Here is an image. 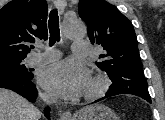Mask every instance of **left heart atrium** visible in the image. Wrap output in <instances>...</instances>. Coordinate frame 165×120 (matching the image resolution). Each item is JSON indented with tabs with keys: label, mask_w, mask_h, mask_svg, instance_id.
Listing matches in <instances>:
<instances>
[{
	"label": "left heart atrium",
	"mask_w": 165,
	"mask_h": 120,
	"mask_svg": "<svg viewBox=\"0 0 165 120\" xmlns=\"http://www.w3.org/2000/svg\"><path fill=\"white\" fill-rule=\"evenodd\" d=\"M39 81L44 89L54 95L74 98L86 92L91 77L81 62L66 60L46 67Z\"/></svg>",
	"instance_id": "left-heart-atrium-1"
}]
</instances>
